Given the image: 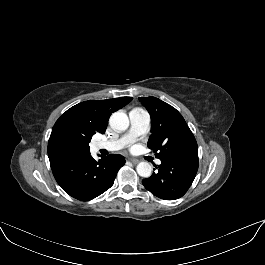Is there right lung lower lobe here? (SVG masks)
<instances>
[{
  "mask_svg": "<svg viewBox=\"0 0 265 265\" xmlns=\"http://www.w3.org/2000/svg\"><path fill=\"white\" fill-rule=\"evenodd\" d=\"M124 164V157L118 154L96 161L89 153L61 162L51 169L63 190L73 198L88 201L113 185L118 170Z\"/></svg>",
  "mask_w": 265,
  "mask_h": 265,
  "instance_id": "obj_1",
  "label": "right lung lower lobe"
}]
</instances>
